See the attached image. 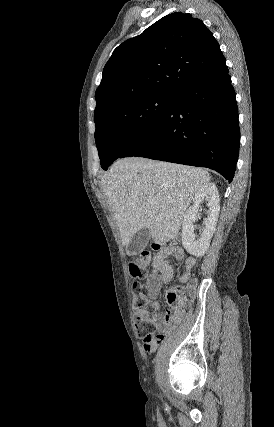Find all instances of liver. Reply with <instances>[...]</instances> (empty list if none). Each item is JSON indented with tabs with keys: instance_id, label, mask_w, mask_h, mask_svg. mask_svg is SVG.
Instances as JSON below:
<instances>
[{
	"instance_id": "obj_1",
	"label": "liver",
	"mask_w": 274,
	"mask_h": 427,
	"mask_svg": "<svg viewBox=\"0 0 274 427\" xmlns=\"http://www.w3.org/2000/svg\"><path fill=\"white\" fill-rule=\"evenodd\" d=\"M211 176L202 168L155 162L146 158L117 160L101 182L106 200L128 245L139 229L148 227L156 243L178 235L192 198Z\"/></svg>"
}]
</instances>
